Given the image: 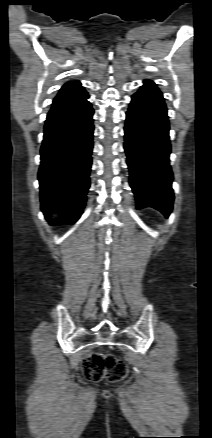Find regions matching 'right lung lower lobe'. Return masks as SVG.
Instances as JSON below:
<instances>
[{"mask_svg":"<svg viewBox=\"0 0 212 438\" xmlns=\"http://www.w3.org/2000/svg\"><path fill=\"white\" fill-rule=\"evenodd\" d=\"M84 95L53 102L47 115L41 147V210L60 213L54 224H74L83 212L90 187L93 114Z\"/></svg>","mask_w":212,"mask_h":438,"instance_id":"98d812e1","label":"right lung lower lobe"}]
</instances>
